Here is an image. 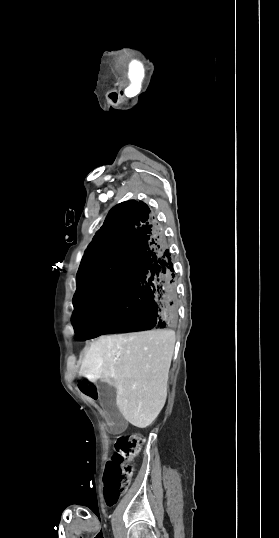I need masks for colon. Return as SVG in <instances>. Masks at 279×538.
<instances>
[{
    "label": "colon",
    "instance_id": "colon-1",
    "mask_svg": "<svg viewBox=\"0 0 279 538\" xmlns=\"http://www.w3.org/2000/svg\"><path fill=\"white\" fill-rule=\"evenodd\" d=\"M143 437L132 434L115 442L114 453L107 462L104 474V496L108 506H113L124 494L133 475V460L140 452Z\"/></svg>",
    "mask_w": 279,
    "mask_h": 538
}]
</instances>
